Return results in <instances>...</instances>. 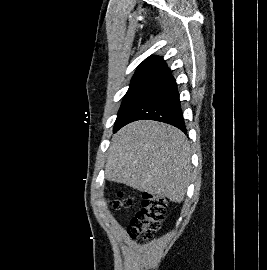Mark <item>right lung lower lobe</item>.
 Returning a JSON list of instances; mask_svg holds the SVG:
<instances>
[{"label":"right lung lower lobe","mask_w":267,"mask_h":270,"mask_svg":"<svg viewBox=\"0 0 267 270\" xmlns=\"http://www.w3.org/2000/svg\"><path fill=\"white\" fill-rule=\"evenodd\" d=\"M142 119L164 122L187 132L177 84L169 68L155 76L147 90L128 111L121 127Z\"/></svg>","instance_id":"1"}]
</instances>
